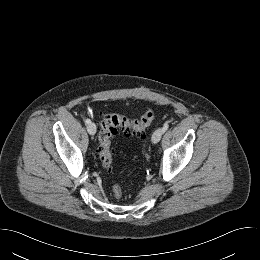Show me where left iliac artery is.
Returning a JSON list of instances; mask_svg holds the SVG:
<instances>
[{"instance_id":"44dca946","label":"left iliac artery","mask_w":260,"mask_h":260,"mask_svg":"<svg viewBox=\"0 0 260 260\" xmlns=\"http://www.w3.org/2000/svg\"><path fill=\"white\" fill-rule=\"evenodd\" d=\"M168 128H169V125L167 123H165L162 128L163 132L167 131Z\"/></svg>"}]
</instances>
